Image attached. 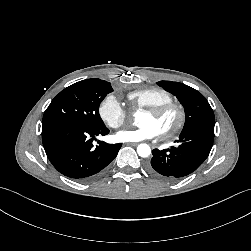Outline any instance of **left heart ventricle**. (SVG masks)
<instances>
[{
	"mask_svg": "<svg viewBox=\"0 0 251 251\" xmlns=\"http://www.w3.org/2000/svg\"><path fill=\"white\" fill-rule=\"evenodd\" d=\"M177 121V115L174 111H171L161 117H154L149 113L142 114L139 122L141 125L151 124L158 132L166 131L172 128Z\"/></svg>",
	"mask_w": 251,
	"mask_h": 251,
	"instance_id": "obj_1",
	"label": "left heart ventricle"
}]
</instances>
